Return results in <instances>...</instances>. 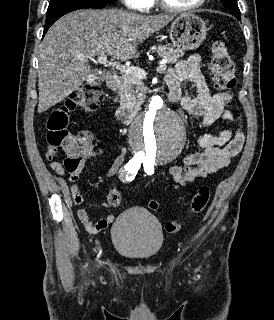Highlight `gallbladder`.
<instances>
[{"mask_svg": "<svg viewBox=\"0 0 274 320\" xmlns=\"http://www.w3.org/2000/svg\"><path fill=\"white\" fill-rule=\"evenodd\" d=\"M108 79V72H89V77L86 79L87 85H100Z\"/></svg>", "mask_w": 274, "mask_h": 320, "instance_id": "gallbladder-1", "label": "gallbladder"}]
</instances>
